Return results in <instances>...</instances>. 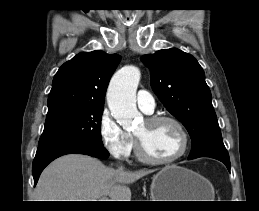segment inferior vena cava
<instances>
[{"label": "inferior vena cava", "mask_w": 259, "mask_h": 211, "mask_svg": "<svg viewBox=\"0 0 259 211\" xmlns=\"http://www.w3.org/2000/svg\"><path fill=\"white\" fill-rule=\"evenodd\" d=\"M122 169H123V167L121 166V167H120V170H122Z\"/></svg>", "instance_id": "1"}]
</instances>
